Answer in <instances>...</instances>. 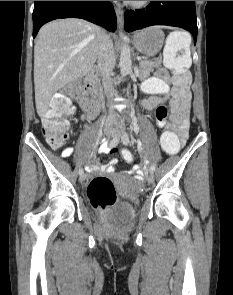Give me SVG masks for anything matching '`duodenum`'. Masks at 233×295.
I'll return each mask as SVG.
<instances>
[{"mask_svg": "<svg viewBox=\"0 0 233 295\" xmlns=\"http://www.w3.org/2000/svg\"><path fill=\"white\" fill-rule=\"evenodd\" d=\"M98 69L93 68L87 75L85 90L80 99L81 109L89 115L98 112L100 106V92L97 85Z\"/></svg>", "mask_w": 233, "mask_h": 295, "instance_id": "1", "label": "duodenum"}]
</instances>
